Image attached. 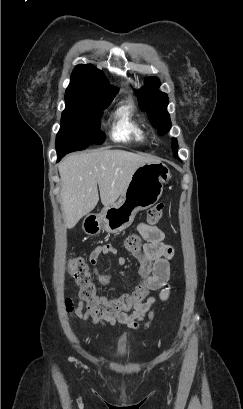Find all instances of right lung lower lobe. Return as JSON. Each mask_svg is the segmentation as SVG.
<instances>
[{
    "instance_id": "right-lung-lower-lobe-1",
    "label": "right lung lower lobe",
    "mask_w": 243,
    "mask_h": 409,
    "mask_svg": "<svg viewBox=\"0 0 243 409\" xmlns=\"http://www.w3.org/2000/svg\"><path fill=\"white\" fill-rule=\"evenodd\" d=\"M64 155H58V161L63 157Z\"/></svg>"
}]
</instances>
